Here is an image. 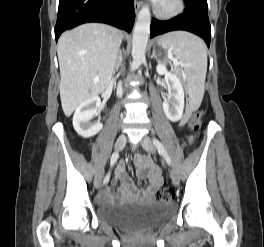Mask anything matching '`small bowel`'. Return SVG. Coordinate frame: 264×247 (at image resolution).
Wrapping results in <instances>:
<instances>
[{"label": "small bowel", "instance_id": "small-bowel-1", "mask_svg": "<svg viewBox=\"0 0 264 247\" xmlns=\"http://www.w3.org/2000/svg\"><path fill=\"white\" fill-rule=\"evenodd\" d=\"M187 117L188 115L183 118L182 123L187 120ZM135 166L137 169V175L140 178H147L149 180V185L145 190H141L128 176H126L125 164L120 163L116 169V178L123 181L120 194L115 196L110 188H105L98 195V201L112 202L126 198L151 200L163 182L161 171L159 167L152 163L150 158L143 154H138L135 157Z\"/></svg>", "mask_w": 264, "mask_h": 247}]
</instances>
